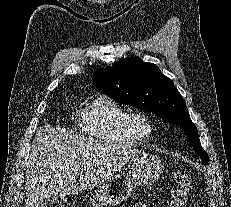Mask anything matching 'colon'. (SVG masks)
Masks as SVG:
<instances>
[{
  "mask_svg": "<svg viewBox=\"0 0 231 207\" xmlns=\"http://www.w3.org/2000/svg\"><path fill=\"white\" fill-rule=\"evenodd\" d=\"M172 203L171 207H182L188 199L191 189V175L183 170H175L171 174ZM45 207H75L74 202L69 198H58L51 200Z\"/></svg>",
  "mask_w": 231,
  "mask_h": 207,
  "instance_id": "1",
  "label": "colon"
}]
</instances>
